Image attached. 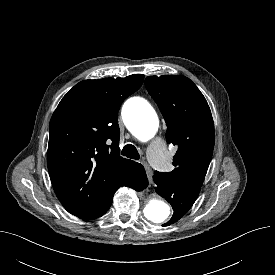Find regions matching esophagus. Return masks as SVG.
<instances>
[{
    "label": "esophagus",
    "instance_id": "1",
    "mask_svg": "<svg viewBox=\"0 0 275 275\" xmlns=\"http://www.w3.org/2000/svg\"><path fill=\"white\" fill-rule=\"evenodd\" d=\"M141 164L144 166V168H145V171H146V174H147V177H148V179L149 180H151L152 179V170H151V168L149 167V165L146 163V162H141Z\"/></svg>",
    "mask_w": 275,
    "mask_h": 275
}]
</instances>
